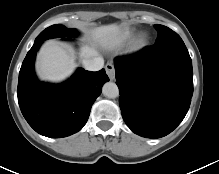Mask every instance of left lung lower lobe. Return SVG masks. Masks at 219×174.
Segmentation results:
<instances>
[{"label": "left lung lower lobe", "mask_w": 219, "mask_h": 174, "mask_svg": "<svg viewBox=\"0 0 219 174\" xmlns=\"http://www.w3.org/2000/svg\"><path fill=\"white\" fill-rule=\"evenodd\" d=\"M119 105L127 126L146 138L172 132L193 95L192 61L184 42L147 46L114 60Z\"/></svg>", "instance_id": "obj_1"}]
</instances>
